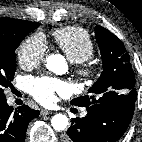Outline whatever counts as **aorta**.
<instances>
[{
	"label": "aorta",
	"mask_w": 142,
	"mask_h": 142,
	"mask_svg": "<svg viewBox=\"0 0 142 142\" xmlns=\"http://www.w3.org/2000/svg\"><path fill=\"white\" fill-rule=\"evenodd\" d=\"M46 67L58 75L64 74L67 71L65 59L58 54L47 57ZM51 125L57 131L65 130L68 126V118L64 114H56L51 119Z\"/></svg>",
	"instance_id": "762f6f07"
}]
</instances>
